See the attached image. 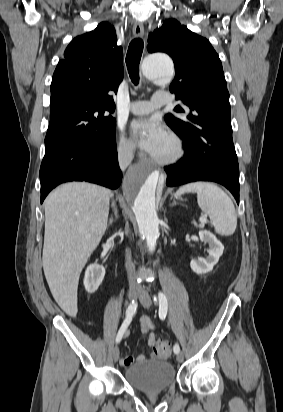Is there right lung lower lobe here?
I'll list each match as a JSON object with an SVG mask.
<instances>
[{
  "instance_id": "1",
  "label": "right lung lower lobe",
  "mask_w": 283,
  "mask_h": 412,
  "mask_svg": "<svg viewBox=\"0 0 283 412\" xmlns=\"http://www.w3.org/2000/svg\"><path fill=\"white\" fill-rule=\"evenodd\" d=\"M121 180L115 135L97 142L64 141L45 150L40 167L41 203L64 182L88 181L116 189Z\"/></svg>"
}]
</instances>
